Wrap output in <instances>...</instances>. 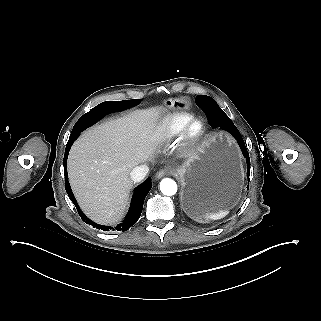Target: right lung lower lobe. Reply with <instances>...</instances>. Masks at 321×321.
Returning a JSON list of instances; mask_svg holds the SVG:
<instances>
[{
  "instance_id": "obj_1",
  "label": "right lung lower lobe",
  "mask_w": 321,
  "mask_h": 321,
  "mask_svg": "<svg viewBox=\"0 0 321 321\" xmlns=\"http://www.w3.org/2000/svg\"><path fill=\"white\" fill-rule=\"evenodd\" d=\"M134 105L131 104H123V105H113V106H109V107H101L98 108L96 110H90L88 113H91L90 116L86 117V119H84L83 121H81L82 117L86 114H84L75 124V126L73 127L72 133H71V137L67 143L66 149H65V155H64V172H65V176H66V181H65V189L66 192L68 193L71 201L74 203V205L76 206L79 215L81 216L82 220L89 224L92 225L93 227L97 228V229H101L103 231H108L110 229H113L110 226H103V225H99L94 223L93 221H91L90 219H88L80 210L75 197L72 193L70 184L68 182V176H67V157H68V153L69 150L73 144V142L79 137L80 133L85 130L86 128L90 127L91 125L95 124L97 121H99L100 119H102L105 115L112 113V112H118V111H122L125 110L127 108L133 107ZM152 187V183H151V178L146 179L142 184H140L138 187H136L135 192L133 194L132 197V201H131V205L128 211L127 216L125 217V219L122 221V223L118 224L114 229L117 231H126L128 230L132 225H134L137 220L139 219L141 212H142V208H143V203H144V199L146 197V195L148 194V192L150 191Z\"/></svg>"
}]
</instances>
